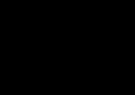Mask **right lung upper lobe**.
I'll list each match as a JSON object with an SVG mask.
<instances>
[{
	"label": "right lung upper lobe",
	"instance_id": "right-lung-upper-lobe-1",
	"mask_svg": "<svg viewBox=\"0 0 135 95\" xmlns=\"http://www.w3.org/2000/svg\"><path fill=\"white\" fill-rule=\"evenodd\" d=\"M37 20L26 15H13L0 29V55L17 71L31 73L44 67L49 52L39 44Z\"/></svg>",
	"mask_w": 135,
	"mask_h": 95
}]
</instances>
